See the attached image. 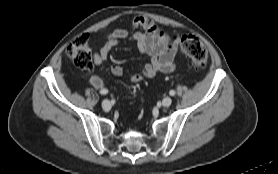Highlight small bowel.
Wrapping results in <instances>:
<instances>
[{
    "label": "small bowel",
    "mask_w": 278,
    "mask_h": 174,
    "mask_svg": "<svg viewBox=\"0 0 278 174\" xmlns=\"http://www.w3.org/2000/svg\"><path fill=\"white\" fill-rule=\"evenodd\" d=\"M132 25V32L121 28L109 32L103 46L93 55V63L96 66L101 65L119 42L132 40L136 43L138 50L150 59L149 63L142 66L140 72L131 74L132 83H139L143 78H152L158 73L173 72L176 68L175 57L178 52V45L171 40L170 35L164 32V37L158 38V34L163 31L151 18L146 16H137ZM111 72L114 75H122L124 69L119 65H113ZM89 82L96 89H106L103 79L96 74L89 76Z\"/></svg>",
    "instance_id": "small-bowel-1"
}]
</instances>
